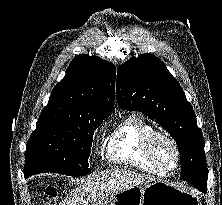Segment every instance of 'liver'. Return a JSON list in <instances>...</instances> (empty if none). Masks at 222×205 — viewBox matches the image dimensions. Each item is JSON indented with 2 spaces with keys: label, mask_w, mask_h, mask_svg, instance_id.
Wrapping results in <instances>:
<instances>
[{
  "label": "liver",
  "mask_w": 222,
  "mask_h": 205,
  "mask_svg": "<svg viewBox=\"0 0 222 205\" xmlns=\"http://www.w3.org/2000/svg\"><path fill=\"white\" fill-rule=\"evenodd\" d=\"M154 181L127 169L114 168L89 176L82 184L73 189L60 205H91L109 198L114 193L149 184ZM85 196L87 198L85 199Z\"/></svg>",
  "instance_id": "obj_1"
}]
</instances>
